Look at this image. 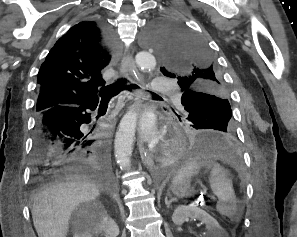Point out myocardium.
Returning a JSON list of instances; mask_svg holds the SVG:
<instances>
[{"label": "myocardium", "mask_w": 297, "mask_h": 237, "mask_svg": "<svg viewBox=\"0 0 297 237\" xmlns=\"http://www.w3.org/2000/svg\"><path fill=\"white\" fill-rule=\"evenodd\" d=\"M164 153H167V146H164Z\"/></svg>", "instance_id": "obj_1"}]
</instances>
